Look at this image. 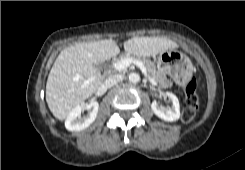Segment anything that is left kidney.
<instances>
[{"label": "left kidney", "instance_id": "obj_1", "mask_svg": "<svg viewBox=\"0 0 245 170\" xmlns=\"http://www.w3.org/2000/svg\"><path fill=\"white\" fill-rule=\"evenodd\" d=\"M167 97L172 102L171 107H165L154 100L151 104V108L156 116L165 121H176L180 118V105L176 95L171 92H166Z\"/></svg>", "mask_w": 245, "mask_h": 170}]
</instances>
